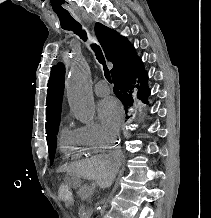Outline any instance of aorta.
Returning a JSON list of instances; mask_svg holds the SVG:
<instances>
[{
  "instance_id": "obj_1",
  "label": "aorta",
  "mask_w": 211,
  "mask_h": 218,
  "mask_svg": "<svg viewBox=\"0 0 211 218\" xmlns=\"http://www.w3.org/2000/svg\"><path fill=\"white\" fill-rule=\"evenodd\" d=\"M66 88L74 116L84 124L91 123L94 119L95 105L90 87V68L85 61H77L73 65Z\"/></svg>"
}]
</instances>
